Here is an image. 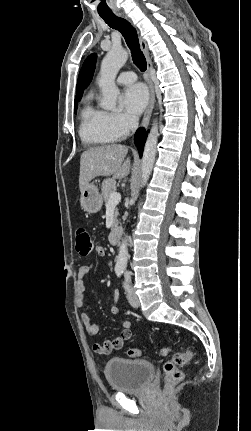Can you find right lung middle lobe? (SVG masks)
<instances>
[{
  "label": "right lung middle lobe",
  "mask_w": 251,
  "mask_h": 431,
  "mask_svg": "<svg viewBox=\"0 0 251 431\" xmlns=\"http://www.w3.org/2000/svg\"><path fill=\"white\" fill-rule=\"evenodd\" d=\"M78 101H80V99H76V100H75V102H74V108H75V112H76V109H77V104H78Z\"/></svg>",
  "instance_id": "right-lung-middle-lobe-1"
}]
</instances>
